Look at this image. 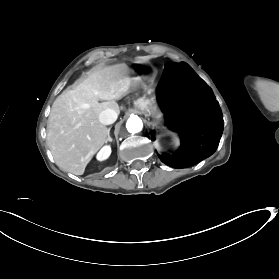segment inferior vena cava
I'll return each instance as SVG.
<instances>
[{"label": "inferior vena cava", "instance_id": "1", "mask_svg": "<svg viewBox=\"0 0 279 279\" xmlns=\"http://www.w3.org/2000/svg\"><path fill=\"white\" fill-rule=\"evenodd\" d=\"M99 119L103 125H108L116 121L117 113L114 110L107 108L105 111L101 112Z\"/></svg>", "mask_w": 279, "mask_h": 279}]
</instances>
